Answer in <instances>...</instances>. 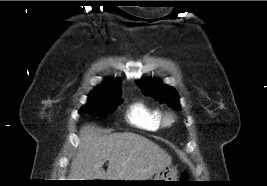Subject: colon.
<instances>
[{
    "instance_id": "obj_1",
    "label": "colon",
    "mask_w": 267,
    "mask_h": 186,
    "mask_svg": "<svg viewBox=\"0 0 267 186\" xmlns=\"http://www.w3.org/2000/svg\"><path fill=\"white\" fill-rule=\"evenodd\" d=\"M182 178H183V179H186V178H187V173L184 172V173L182 174Z\"/></svg>"
}]
</instances>
